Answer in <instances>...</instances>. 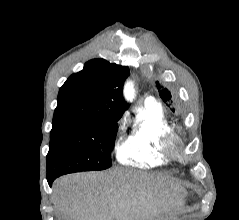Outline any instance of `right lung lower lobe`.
<instances>
[{"mask_svg":"<svg viewBox=\"0 0 239 220\" xmlns=\"http://www.w3.org/2000/svg\"><path fill=\"white\" fill-rule=\"evenodd\" d=\"M55 178H47V181L49 183V185L51 186L52 185V182L54 181Z\"/></svg>","mask_w":239,"mask_h":220,"instance_id":"98d812e1","label":"right lung lower lobe"}]
</instances>
